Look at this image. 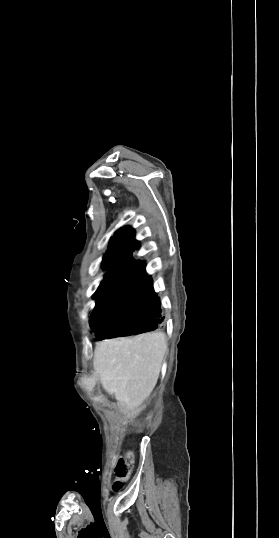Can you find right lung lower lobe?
I'll return each mask as SVG.
<instances>
[{"label":"right lung lower lobe","instance_id":"1","mask_svg":"<svg viewBox=\"0 0 279 538\" xmlns=\"http://www.w3.org/2000/svg\"><path fill=\"white\" fill-rule=\"evenodd\" d=\"M137 248L135 230L129 226L120 228L110 239L103 267H113L93 296L96 306L90 320L98 340L163 327L165 317L153 280L146 274L145 262L132 256Z\"/></svg>","mask_w":279,"mask_h":538}]
</instances>
